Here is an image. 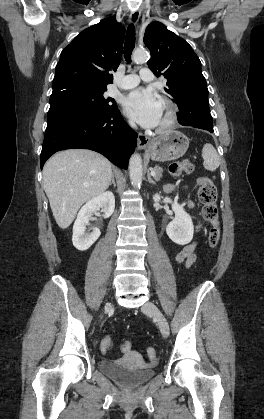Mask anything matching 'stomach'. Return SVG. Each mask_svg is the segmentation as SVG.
<instances>
[{
  "mask_svg": "<svg viewBox=\"0 0 264 419\" xmlns=\"http://www.w3.org/2000/svg\"><path fill=\"white\" fill-rule=\"evenodd\" d=\"M188 147V137L179 131H172L150 142L147 153L152 160L164 162L182 157Z\"/></svg>",
  "mask_w": 264,
  "mask_h": 419,
  "instance_id": "obj_1",
  "label": "stomach"
}]
</instances>
